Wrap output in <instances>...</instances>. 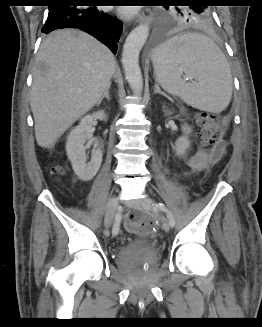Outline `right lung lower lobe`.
Listing matches in <instances>:
<instances>
[{
	"label": "right lung lower lobe",
	"mask_w": 262,
	"mask_h": 327,
	"mask_svg": "<svg viewBox=\"0 0 262 327\" xmlns=\"http://www.w3.org/2000/svg\"><path fill=\"white\" fill-rule=\"evenodd\" d=\"M74 0H52L43 33L56 29L78 28L104 43L114 54L117 50L122 23L113 16L99 11L96 6L72 5Z\"/></svg>",
	"instance_id": "98d812e1"
}]
</instances>
